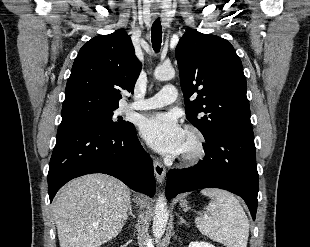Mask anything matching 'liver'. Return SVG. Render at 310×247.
<instances>
[{"mask_svg":"<svg viewBox=\"0 0 310 247\" xmlns=\"http://www.w3.org/2000/svg\"><path fill=\"white\" fill-rule=\"evenodd\" d=\"M130 205V190L105 174L70 181L56 195L53 217L60 247H100L116 237Z\"/></svg>","mask_w":310,"mask_h":247,"instance_id":"liver-1","label":"liver"}]
</instances>
